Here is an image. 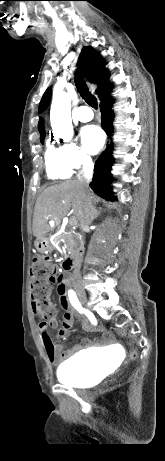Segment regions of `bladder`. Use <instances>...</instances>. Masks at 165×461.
Returning <instances> with one entry per match:
<instances>
[{
    "label": "bladder",
    "mask_w": 165,
    "mask_h": 461,
    "mask_svg": "<svg viewBox=\"0 0 165 461\" xmlns=\"http://www.w3.org/2000/svg\"><path fill=\"white\" fill-rule=\"evenodd\" d=\"M106 362V357L81 352L61 363L56 372L57 378L74 387H87L97 381L99 374L105 370Z\"/></svg>",
    "instance_id": "obj_1"
}]
</instances>
